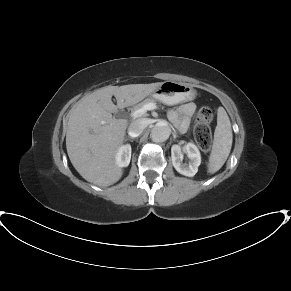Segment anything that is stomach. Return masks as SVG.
<instances>
[{
	"label": "stomach",
	"instance_id": "1",
	"mask_svg": "<svg viewBox=\"0 0 291 291\" xmlns=\"http://www.w3.org/2000/svg\"><path fill=\"white\" fill-rule=\"evenodd\" d=\"M194 95L195 90L190 85L174 81H165L161 83L153 92L155 98L169 105L190 99Z\"/></svg>",
	"mask_w": 291,
	"mask_h": 291
}]
</instances>
